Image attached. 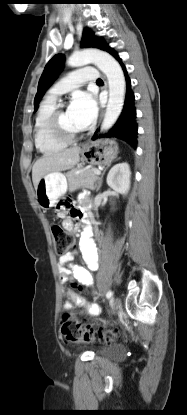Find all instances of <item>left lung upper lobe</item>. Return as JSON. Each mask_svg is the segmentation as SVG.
Instances as JSON below:
<instances>
[{"mask_svg": "<svg viewBox=\"0 0 187 415\" xmlns=\"http://www.w3.org/2000/svg\"><path fill=\"white\" fill-rule=\"evenodd\" d=\"M81 47L84 48H99L105 50L108 46L104 44L98 37H96L89 30L83 32ZM65 58L63 54H57L51 58L46 64L45 69L40 77L38 83V91L34 99V110L37 111L38 104L44 95L45 91L51 86L58 74L63 68Z\"/></svg>", "mask_w": 187, "mask_h": 415, "instance_id": "obj_1", "label": "left lung upper lobe"}]
</instances>
